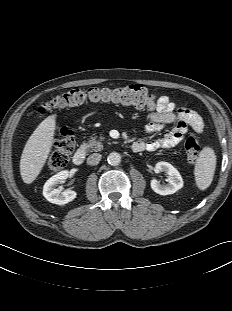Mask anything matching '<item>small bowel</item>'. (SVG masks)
Segmentation results:
<instances>
[{
	"mask_svg": "<svg viewBox=\"0 0 232 311\" xmlns=\"http://www.w3.org/2000/svg\"><path fill=\"white\" fill-rule=\"evenodd\" d=\"M168 125H174V127L164 137L148 142H137H143L144 150L148 151L169 149L178 145L190 129L196 133H201L204 129L203 119L196 111L186 107H177L168 96L162 95L157 99L156 108L147 114L145 132L152 134Z\"/></svg>",
	"mask_w": 232,
	"mask_h": 311,
	"instance_id": "small-bowel-1",
	"label": "small bowel"
}]
</instances>
